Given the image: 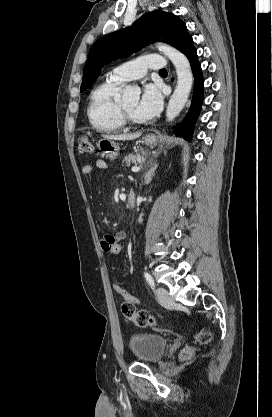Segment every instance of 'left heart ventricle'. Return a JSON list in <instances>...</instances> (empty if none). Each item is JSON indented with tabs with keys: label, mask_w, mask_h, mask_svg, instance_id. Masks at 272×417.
I'll return each mask as SVG.
<instances>
[{
	"label": "left heart ventricle",
	"mask_w": 272,
	"mask_h": 417,
	"mask_svg": "<svg viewBox=\"0 0 272 417\" xmlns=\"http://www.w3.org/2000/svg\"><path fill=\"white\" fill-rule=\"evenodd\" d=\"M126 111H128L132 117H134L137 120H143L136 114V107H137V101H129L122 104Z\"/></svg>",
	"instance_id": "1"
}]
</instances>
